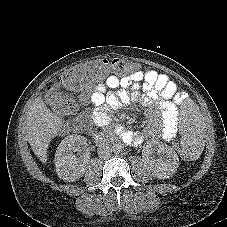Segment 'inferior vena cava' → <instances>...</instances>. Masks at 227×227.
I'll return each mask as SVG.
<instances>
[{"instance_id": "inferior-vena-cava-1", "label": "inferior vena cava", "mask_w": 227, "mask_h": 227, "mask_svg": "<svg viewBox=\"0 0 227 227\" xmlns=\"http://www.w3.org/2000/svg\"><path fill=\"white\" fill-rule=\"evenodd\" d=\"M112 154V148L108 143L99 145L98 155L100 158H108Z\"/></svg>"}]
</instances>
